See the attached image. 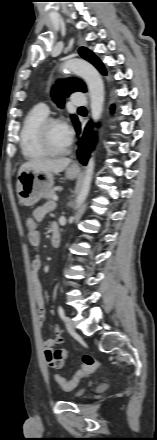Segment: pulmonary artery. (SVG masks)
Instances as JSON below:
<instances>
[{
    "instance_id": "pulmonary-artery-1",
    "label": "pulmonary artery",
    "mask_w": 157,
    "mask_h": 440,
    "mask_svg": "<svg viewBox=\"0 0 157 440\" xmlns=\"http://www.w3.org/2000/svg\"><path fill=\"white\" fill-rule=\"evenodd\" d=\"M71 102L74 105H78V106H84L86 104V100H85V96L83 93L81 92H74L71 95ZM38 108L44 112L45 114L49 113V108L47 105H45L44 103H41L38 105Z\"/></svg>"
}]
</instances>
